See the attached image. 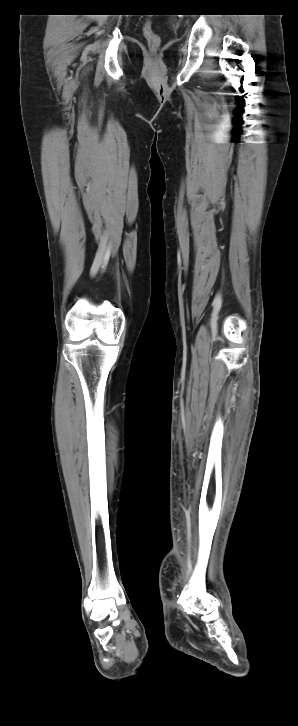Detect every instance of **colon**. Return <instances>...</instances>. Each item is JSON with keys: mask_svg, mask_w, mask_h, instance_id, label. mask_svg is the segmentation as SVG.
Listing matches in <instances>:
<instances>
[{"mask_svg": "<svg viewBox=\"0 0 298 726\" xmlns=\"http://www.w3.org/2000/svg\"><path fill=\"white\" fill-rule=\"evenodd\" d=\"M143 34L151 47H157L160 42L159 36L152 29L151 25L146 23L143 27Z\"/></svg>", "mask_w": 298, "mask_h": 726, "instance_id": "1", "label": "colon"}]
</instances>
